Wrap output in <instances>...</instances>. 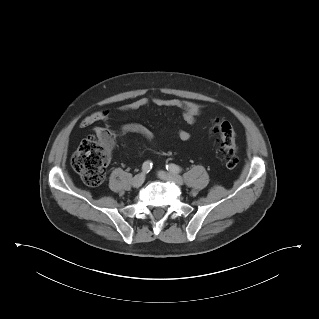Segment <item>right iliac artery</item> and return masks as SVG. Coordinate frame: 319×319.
<instances>
[{"label":"right iliac artery","mask_w":319,"mask_h":319,"mask_svg":"<svg viewBox=\"0 0 319 319\" xmlns=\"http://www.w3.org/2000/svg\"><path fill=\"white\" fill-rule=\"evenodd\" d=\"M152 165L151 161H145L142 165L143 173H148L152 169Z\"/></svg>","instance_id":"1"}]
</instances>
